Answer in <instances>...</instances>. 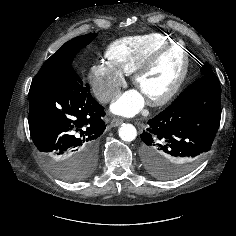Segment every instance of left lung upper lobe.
Returning <instances> with one entry per match:
<instances>
[{"label":"left lung upper lobe","instance_id":"left-lung-upper-lobe-1","mask_svg":"<svg viewBox=\"0 0 236 236\" xmlns=\"http://www.w3.org/2000/svg\"><path fill=\"white\" fill-rule=\"evenodd\" d=\"M201 74H202V76H204V75H209V74H213V71H212V69L210 68L209 63H205V64L203 65V67L201 68Z\"/></svg>","mask_w":236,"mask_h":236}]
</instances>
